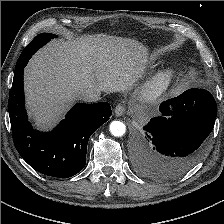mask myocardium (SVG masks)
Listing matches in <instances>:
<instances>
[{
    "instance_id": "f54148a6",
    "label": "myocardium",
    "mask_w": 224,
    "mask_h": 224,
    "mask_svg": "<svg viewBox=\"0 0 224 224\" xmlns=\"http://www.w3.org/2000/svg\"><path fill=\"white\" fill-rule=\"evenodd\" d=\"M176 78L173 69H163L155 73L145 83L141 91V97L147 102L161 98L171 87Z\"/></svg>"
}]
</instances>
